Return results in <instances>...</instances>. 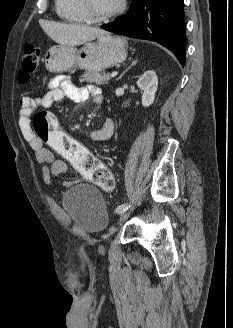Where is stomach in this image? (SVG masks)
<instances>
[{
	"label": "stomach",
	"mask_w": 233,
	"mask_h": 328,
	"mask_svg": "<svg viewBox=\"0 0 233 328\" xmlns=\"http://www.w3.org/2000/svg\"><path fill=\"white\" fill-rule=\"evenodd\" d=\"M126 41L110 34L98 37L96 42H87L80 49L74 46L57 45L45 54V66L50 72L67 71L76 65L81 69L99 72L125 61Z\"/></svg>",
	"instance_id": "1"
}]
</instances>
